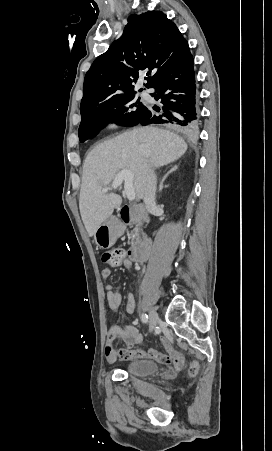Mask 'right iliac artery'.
Segmentation results:
<instances>
[{
	"mask_svg": "<svg viewBox=\"0 0 272 451\" xmlns=\"http://www.w3.org/2000/svg\"><path fill=\"white\" fill-rule=\"evenodd\" d=\"M141 319H142V322H144V323H148V315L147 314H145V313H143L142 315H141Z\"/></svg>",
	"mask_w": 272,
	"mask_h": 451,
	"instance_id": "obj_1",
	"label": "right iliac artery"
}]
</instances>
